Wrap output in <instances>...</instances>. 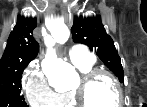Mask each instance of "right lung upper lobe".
<instances>
[{
	"mask_svg": "<svg viewBox=\"0 0 147 107\" xmlns=\"http://www.w3.org/2000/svg\"><path fill=\"white\" fill-rule=\"evenodd\" d=\"M36 25V19L24 17L17 19L0 60V75L18 71L27 66L37 56L39 44L32 35Z\"/></svg>",
	"mask_w": 147,
	"mask_h": 107,
	"instance_id": "cb5924a9",
	"label": "right lung upper lobe"
}]
</instances>
